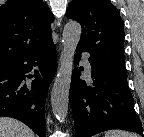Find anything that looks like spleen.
<instances>
[{
	"instance_id": "obj_1",
	"label": "spleen",
	"mask_w": 144,
	"mask_h": 137,
	"mask_svg": "<svg viewBox=\"0 0 144 137\" xmlns=\"http://www.w3.org/2000/svg\"><path fill=\"white\" fill-rule=\"evenodd\" d=\"M104 137H137L134 133L122 130H110L105 132Z\"/></svg>"
}]
</instances>
